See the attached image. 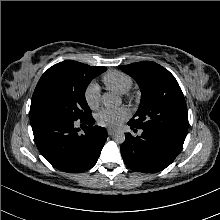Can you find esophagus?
Here are the masks:
<instances>
[{
    "label": "esophagus",
    "mask_w": 220,
    "mask_h": 220,
    "mask_svg": "<svg viewBox=\"0 0 220 220\" xmlns=\"http://www.w3.org/2000/svg\"><path fill=\"white\" fill-rule=\"evenodd\" d=\"M107 132H108V135L110 136H112L115 133V131L112 129H108Z\"/></svg>",
    "instance_id": "34e87169"
}]
</instances>
